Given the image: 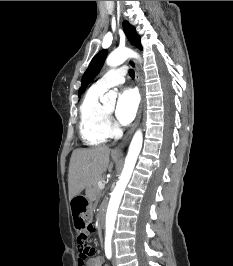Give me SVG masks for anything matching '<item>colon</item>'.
Segmentation results:
<instances>
[{
	"mask_svg": "<svg viewBox=\"0 0 233 266\" xmlns=\"http://www.w3.org/2000/svg\"><path fill=\"white\" fill-rule=\"evenodd\" d=\"M95 231L94 225H89L87 232H80L77 236L79 250V265L82 266L85 261L95 253V249L87 242V234Z\"/></svg>",
	"mask_w": 233,
	"mask_h": 266,
	"instance_id": "colon-1",
	"label": "colon"
}]
</instances>
